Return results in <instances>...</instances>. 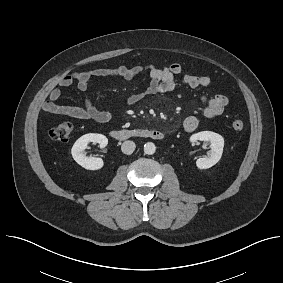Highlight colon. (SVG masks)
<instances>
[{"label":"colon","instance_id":"obj_1","mask_svg":"<svg viewBox=\"0 0 283 283\" xmlns=\"http://www.w3.org/2000/svg\"><path fill=\"white\" fill-rule=\"evenodd\" d=\"M244 125L245 124L241 119H235L232 122V128L235 131L243 130ZM72 131L73 126L70 122H61L50 130V137L52 140L57 142H67L72 135Z\"/></svg>","mask_w":283,"mask_h":283}]
</instances>
